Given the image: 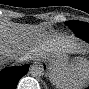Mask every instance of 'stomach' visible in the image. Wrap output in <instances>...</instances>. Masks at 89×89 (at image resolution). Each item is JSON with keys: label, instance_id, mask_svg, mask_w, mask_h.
Returning a JSON list of instances; mask_svg holds the SVG:
<instances>
[{"label": "stomach", "instance_id": "1", "mask_svg": "<svg viewBox=\"0 0 89 89\" xmlns=\"http://www.w3.org/2000/svg\"><path fill=\"white\" fill-rule=\"evenodd\" d=\"M47 60L49 63L50 70L53 68L62 67L66 63H69V58L67 55L63 56L62 58H58L55 56H49Z\"/></svg>", "mask_w": 89, "mask_h": 89}]
</instances>
